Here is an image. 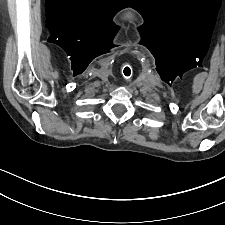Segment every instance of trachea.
<instances>
[{
  "instance_id": "obj_1",
  "label": "trachea",
  "mask_w": 225,
  "mask_h": 225,
  "mask_svg": "<svg viewBox=\"0 0 225 225\" xmlns=\"http://www.w3.org/2000/svg\"><path fill=\"white\" fill-rule=\"evenodd\" d=\"M123 73H124V75L126 76V72H125V69L123 70Z\"/></svg>"
}]
</instances>
